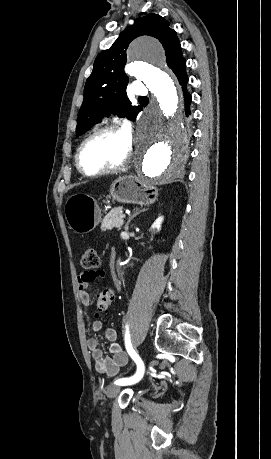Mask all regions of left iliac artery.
I'll return each instance as SVG.
<instances>
[{
    "label": "left iliac artery",
    "instance_id": "left-iliac-artery-1",
    "mask_svg": "<svg viewBox=\"0 0 271 459\" xmlns=\"http://www.w3.org/2000/svg\"><path fill=\"white\" fill-rule=\"evenodd\" d=\"M126 328H128L126 326ZM128 330L126 331L125 335V346L127 349L128 354L130 357L135 361L137 364V372L134 373V377L130 378H121L116 380L114 383L116 385H121V387H130V386H135V382H140L141 377H144V364L139 355L135 352V350L132 347L131 340H130V335L128 334Z\"/></svg>",
    "mask_w": 271,
    "mask_h": 459
}]
</instances>
